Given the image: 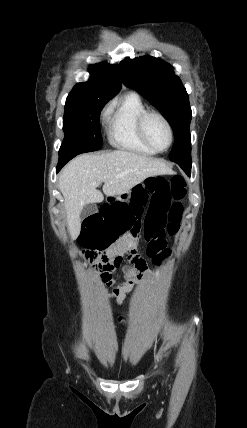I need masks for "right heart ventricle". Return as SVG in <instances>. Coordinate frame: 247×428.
I'll return each instance as SVG.
<instances>
[{"mask_svg":"<svg viewBox=\"0 0 247 428\" xmlns=\"http://www.w3.org/2000/svg\"><path fill=\"white\" fill-rule=\"evenodd\" d=\"M147 111L140 95L129 92L113 104L105 118L109 143L119 149L144 155H155L157 152L148 147L138 132V119Z\"/></svg>","mask_w":247,"mask_h":428,"instance_id":"1","label":"right heart ventricle"}]
</instances>
